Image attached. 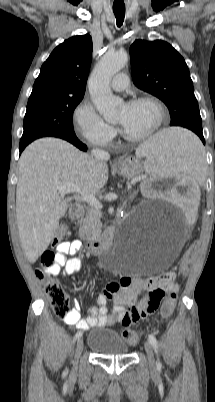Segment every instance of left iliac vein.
Segmentation results:
<instances>
[{
	"instance_id": "1",
	"label": "left iliac vein",
	"mask_w": 215,
	"mask_h": 402,
	"mask_svg": "<svg viewBox=\"0 0 215 402\" xmlns=\"http://www.w3.org/2000/svg\"><path fill=\"white\" fill-rule=\"evenodd\" d=\"M145 347V351L148 357V361H149V366L152 370L155 369V359H154V353H153V348L152 345L149 341H146L144 344Z\"/></svg>"
}]
</instances>
